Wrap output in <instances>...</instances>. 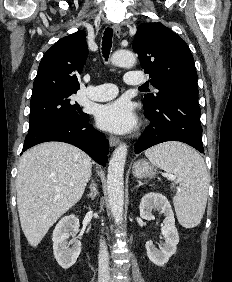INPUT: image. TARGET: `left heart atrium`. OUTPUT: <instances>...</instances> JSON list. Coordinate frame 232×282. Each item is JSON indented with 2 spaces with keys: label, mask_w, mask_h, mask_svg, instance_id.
Segmentation results:
<instances>
[{
  "label": "left heart atrium",
  "mask_w": 232,
  "mask_h": 282,
  "mask_svg": "<svg viewBox=\"0 0 232 282\" xmlns=\"http://www.w3.org/2000/svg\"><path fill=\"white\" fill-rule=\"evenodd\" d=\"M96 120L100 128L122 133L135 124V116L130 104L123 99L102 105L96 110Z\"/></svg>",
  "instance_id": "obj_1"
}]
</instances>
